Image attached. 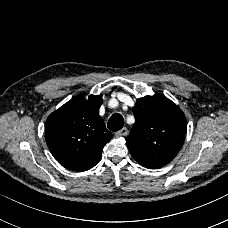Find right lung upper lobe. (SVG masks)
I'll return each mask as SVG.
<instances>
[{"mask_svg":"<svg viewBox=\"0 0 228 228\" xmlns=\"http://www.w3.org/2000/svg\"><path fill=\"white\" fill-rule=\"evenodd\" d=\"M101 104V96L85 99L79 94L47 118L46 143L64 167L82 172L100 161L103 147L112 138L99 116Z\"/></svg>","mask_w":228,"mask_h":228,"instance_id":"1","label":"right lung upper lobe"}]
</instances>
